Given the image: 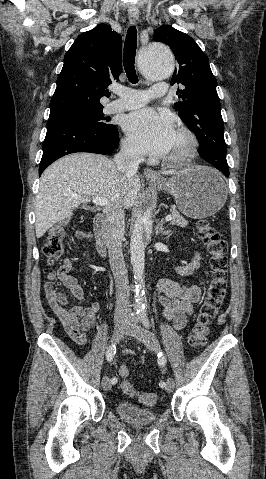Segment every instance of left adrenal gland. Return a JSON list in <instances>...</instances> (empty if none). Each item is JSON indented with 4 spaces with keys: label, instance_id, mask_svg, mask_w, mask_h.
I'll use <instances>...</instances> for the list:
<instances>
[{
    "label": "left adrenal gland",
    "instance_id": "1",
    "mask_svg": "<svg viewBox=\"0 0 266 479\" xmlns=\"http://www.w3.org/2000/svg\"><path fill=\"white\" fill-rule=\"evenodd\" d=\"M164 220H162L158 226V231L157 233H161L162 235H167V237H169L171 235V231L170 230H165L163 228V224H164Z\"/></svg>",
    "mask_w": 266,
    "mask_h": 479
}]
</instances>
